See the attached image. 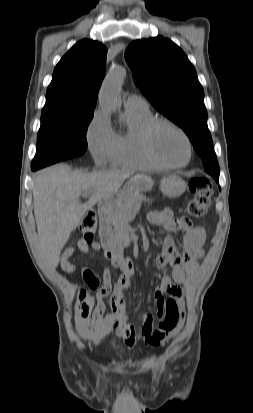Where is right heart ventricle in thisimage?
<instances>
[{
  "mask_svg": "<svg viewBox=\"0 0 253 413\" xmlns=\"http://www.w3.org/2000/svg\"><path fill=\"white\" fill-rule=\"evenodd\" d=\"M154 117L149 109H126L123 113L125 129L115 133L116 143L110 156V163L115 167L132 169L158 168L145 154L141 142L143 127Z\"/></svg>",
  "mask_w": 253,
  "mask_h": 413,
  "instance_id": "obj_1",
  "label": "right heart ventricle"
}]
</instances>
